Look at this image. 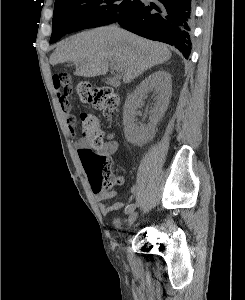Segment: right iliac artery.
Listing matches in <instances>:
<instances>
[{"instance_id":"1","label":"right iliac artery","mask_w":245,"mask_h":300,"mask_svg":"<svg viewBox=\"0 0 245 300\" xmlns=\"http://www.w3.org/2000/svg\"><path fill=\"white\" fill-rule=\"evenodd\" d=\"M135 209V204H130L129 206H127L126 208V213L129 214L130 212H132Z\"/></svg>"}]
</instances>
